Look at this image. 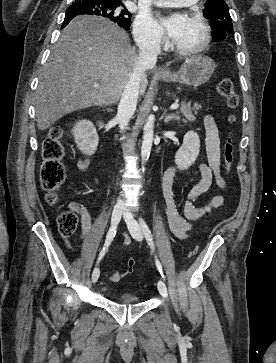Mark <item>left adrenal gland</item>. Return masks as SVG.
Wrapping results in <instances>:
<instances>
[{
    "mask_svg": "<svg viewBox=\"0 0 276 363\" xmlns=\"http://www.w3.org/2000/svg\"><path fill=\"white\" fill-rule=\"evenodd\" d=\"M165 114H166V110H165V112L163 113V116H162V117H164V122L165 123H168L171 120H178L177 116L174 115V114H170V115H165Z\"/></svg>",
    "mask_w": 276,
    "mask_h": 363,
    "instance_id": "left-adrenal-gland-1",
    "label": "left adrenal gland"
}]
</instances>
